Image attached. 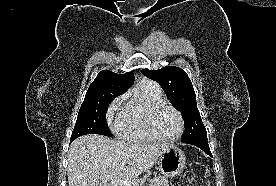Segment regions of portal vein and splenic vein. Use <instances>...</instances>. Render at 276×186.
I'll return each mask as SVG.
<instances>
[{
  "label": "portal vein and splenic vein",
  "mask_w": 276,
  "mask_h": 186,
  "mask_svg": "<svg viewBox=\"0 0 276 186\" xmlns=\"http://www.w3.org/2000/svg\"><path fill=\"white\" fill-rule=\"evenodd\" d=\"M112 186H139L138 183L133 181H121L118 178H114L111 180Z\"/></svg>",
  "instance_id": "obj_1"
}]
</instances>
